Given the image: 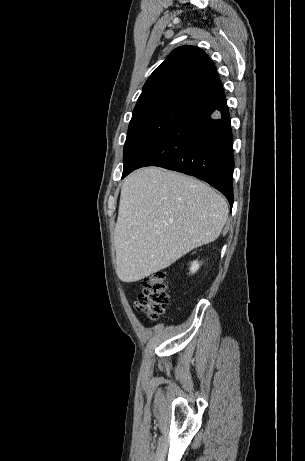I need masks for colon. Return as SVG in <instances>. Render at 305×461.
Instances as JSON below:
<instances>
[{
    "mask_svg": "<svg viewBox=\"0 0 305 461\" xmlns=\"http://www.w3.org/2000/svg\"><path fill=\"white\" fill-rule=\"evenodd\" d=\"M169 303L168 287L164 272H156L146 276L142 282V290L135 301L137 311H146L152 319L161 316Z\"/></svg>",
    "mask_w": 305,
    "mask_h": 461,
    "instance_id": "colon-1",
    "label": "colon"
}]
</instances>
